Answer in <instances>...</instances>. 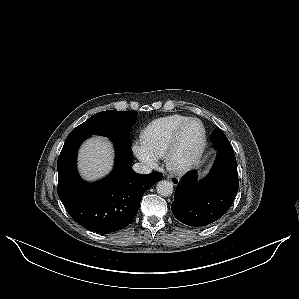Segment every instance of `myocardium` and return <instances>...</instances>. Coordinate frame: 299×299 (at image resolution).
Here are the masks:
<instances>
[{
    "mask_svg": "<svg viewBox=\"0 0 299 299\" xmlns=\"http://www.w3.org/2000/svg\"><path fill=\"white\" fill-rule=\"evenodd\" d=\"M192 122H197L202 129V138H201V142L199 145V148L197 150V152L189 159L181 162V163H175L173 161V154L175 152L177 143H178V139L182 133V131L186 128L187 125H189ZM206 143H207V135H206V129L204 124L202 123L201 120H199L198 118H188L187 120H185L173 133L168 146L165 150L164 153V163L166 165V167L168 169H170L171 171L181 174V173H185L187 171H189L190 169H192L194 166H196L199 161L201 160L205 148H206Z\"/></svg>",
    "mask_w": 299,
    "mask_h": 299,
    "instance_id": "f54148a6",
    "label": "myocardium"
}]
</instances>
